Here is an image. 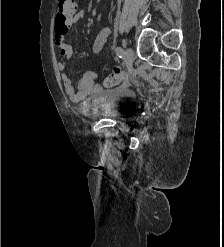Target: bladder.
<instances>
[{"instance_id": "bladder-1", "label": "bladder", "mask_w": 224, "mask_h": 247, "mask_svg": "<svg viewBox=\"0 0 224 247\" xmlns=\"http://www.w3.org/2000/svg\"><path fill=\"white\" fill-rule=\"evenodd\" d=\"M137 102L134 91L109 89L100 91L94 98V115L116 120H129Z\"/></svg>"}]
</instances>
